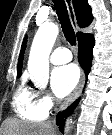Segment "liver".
<instances>
[{
    "label": "liver",
    "instance_id": "1",
    "mask_svg": "<svg viewBox=\"0 0 112 135\" xmlns=\"http://www.w3.org/2000/svg\"><path fill=\"white\" fill-rule=\"evenodd\" d=\"M3 125V135H54L55 133L50 122L28 123L7 119Z\"/></svg>",
    "mask_w": 112,
    "mask_h": 135
}]
</instances>
